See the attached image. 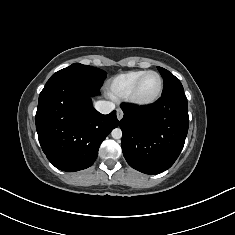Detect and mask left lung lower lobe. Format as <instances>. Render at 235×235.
Instances as JSON below:
<instances>
[{
	"mask_svg": "<svg viewBox=\"0 0 235 235\" xmlns=\"http://www.w3.org/2000/svg\"><path fill=\"white\" fill-rule=\"evenodd\" d=\"M122 151L128 164L146 174L169 169L188 132V102L184 92L171 93L149 106L121 104Z\"/></svg>",
	"mask_w": 235,
	"mask_h": 235,
	"instance_id": "left-lung-lower-lobe-1",
	"label": "left lung lower lobe"
}]
</instances>
